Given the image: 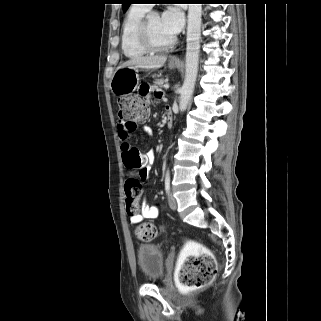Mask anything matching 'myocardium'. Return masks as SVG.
<instances>
[{"mask_svg":"<svg viewBox=\"0 0 321 321\" xmlns=\"http://www.w3.org/2000/svg\"><path fill=\"white\" fill-rule=\"evenodd\" d=\"M153 14H156V13H147L142 18L137 31L138 41L140 45L147 51L161 52V51L169 50L175 45L177 39L175 36H173V38L168 43L162 44V45L156 44L152 40L150 31H149V19Z\"/></svg>","mask_w":321,"mask_h":321,"instance_id":"myocardium-1","label":"myocardium"}]
</instances>
